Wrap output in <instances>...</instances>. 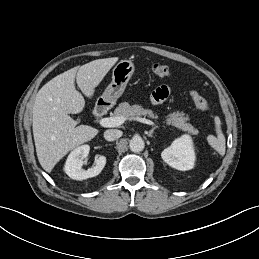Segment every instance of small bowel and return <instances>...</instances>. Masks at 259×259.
Masks as SVG:
<instances>
[{
	"label": "small bowel",
	"instance_id": "1",
	"mask_svg": "<svg viewBox=\"0 0 259 259\" xmlns=\"http://www.w3.org/2000/svg\"><path fill=\"white\" fill-rule=\"evenodd\" d=\"M169 94V88L167 86H161L157 88L152 94L153 103L162 102Z\"/></svg>",
	"mask_w": 259,
	"mask_h": 259
}]
</instances>
